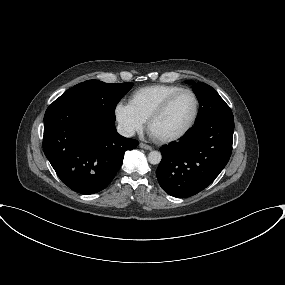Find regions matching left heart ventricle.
<instances>
[{"label":"left heart ventricle","mask_w":285,"mask_h":285,"mask_svg":"<svg viewBox=\"0 0 285 285\" xmlns=\"http://www.w3.org/2000/svg\"><path fill=\"white\" fill-rule=\"evenodd\" d=\"M195 108V101L191 94L179 95L169 106L167 111L151 126V133L155 137H168L182 131L190 122Z\"/></svg>","instance_id":"left-heart-ventricle-1"}]
</instances>
